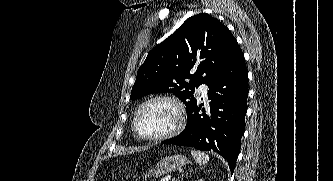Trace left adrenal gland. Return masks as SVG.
Wrapping results in <instances>:
<instances>
[{
	"label": "left adrenal gland",
	"mask_w": 333,
	"mask_h": 181,
	"mask_svg": "<svg viewBox=\"0 0 333 181\" xmlns=\"http://www.w3.org/2000/svg\"><path fill=\"white\" fill-rule=\"evenodd\" d=\"M192 171H193V169H190L189 172H187L185 175L182 176V178H183L184 176H186L187 174H189L190 172H192Z\"/></svg>",
	"instance_id": "a2214340"
}]
</instances>
